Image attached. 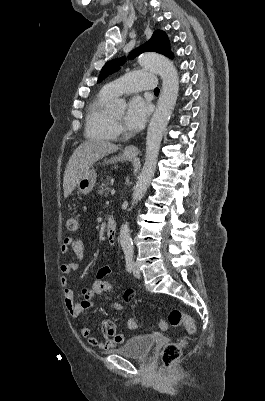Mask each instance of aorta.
Returning <instances> with one entry per match:
<instances>
[{
	"mask_svg": "<svg viewBox=\"0 0 265 401\" xmlns=\"http://www.w3.org/2000/svg\"><path fill=\"white\" fill-rule=\"evenodd\" d=\"M138 62L141 66L160 74L162 90L147 128L145 162L141 174L133 186L132 207L141 201L155 174L161 140L176 104L179 90V76L172 60L162 54H156V52H146L139 56ZM119 239L124 255H133L134 247L130 237L129 223L122 225Z\"/></svg>",
	"mask_w": 265,
	"mask_h": 401,
	"instance_id": "aorta-1",
	"label": "aorta"
}]
</instances>
